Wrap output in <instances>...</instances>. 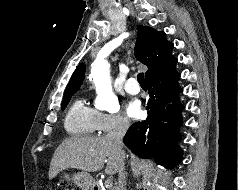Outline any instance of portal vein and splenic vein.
<instances>
[{
  "label": "portal vein and splenic vein",
  "mask_w": 238,
  "mask_h": 190,
  "mask_svg": "<svg viewBox=\"0 0 238 190\" xmlns=\"http://www.w3.org/2000/svg\"><path fill=\"white\" fill-rule=\"evenodd\" d=\"M112 181L111 180H108L106 181V187H111L112 186Z\"/></svg>",
  "instance_id": "18ae733b"
}]
</instances>
